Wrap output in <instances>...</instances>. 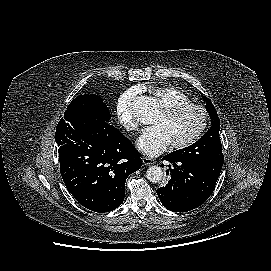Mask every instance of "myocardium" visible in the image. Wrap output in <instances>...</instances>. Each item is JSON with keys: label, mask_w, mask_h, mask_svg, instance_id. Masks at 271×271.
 Instances as JSON below:
<instances>
[{"label": "myocardium", "mask_w": 271, "mask_h": 271, "mask_svg": "<svg viewBox=\"0 0 271 271\" xmlns=\"http://www.w3.org/2000/svg\"><path fill=\"white\" fill-rule=\"evenodd\" d=\"M188 109H195L200 112L201 117H202L201 124L199 128L197 129V131L193 135H191L189 138L181 142L171 143V147L173 149H184L194 144L195 142H197L207 129L208 122H209V114H208L207 109L204 106L197 103H191V102L183 103V104H175V105L161 108L160 113L164 115L165 117L176 116L177 114Z\"/></svg>", "instance_id": "f54148a6"}]
</instances>
